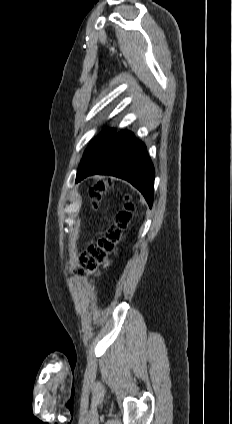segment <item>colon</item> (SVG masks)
<instances>
[{
	"mask_svg": "<svg viewBox=\"0 0 232 424\" xmlns=\"http://www.w3.org/2000/svg\"><path fill=\"white\" fill-rule=\"evenodd\" d=\"M108 188V183L96 181L90 188V197L93 205L97 207L101 201L103 194ZM135 205L128 202L124 209L117 212L115 216V225L109 230L107 235L99 239L95 244L91 245L86 252L80 257V267L75 270L78 277H84L88 273H93L100 266L109 265V255L113 252L116 244L122 238V231L129 225Z\"/></svg>",
	"mask_w": 232,
	"mask_h": 424,
	"instance_id": "5ec220e1",
	"label": "colon"
}]
</instances>
